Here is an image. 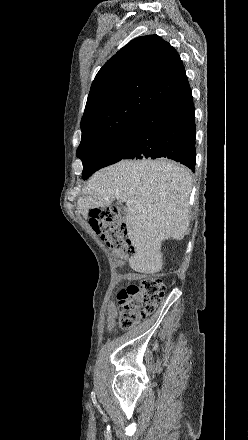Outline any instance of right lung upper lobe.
<instances>
[{"instance_id":"obj_1","label":"right lung upper lobe","mask_w":248,"mask_h":440,"mask_svg":"<svg viewBox=\"0 0 248 440\" xmlns=\"http://www.w3.org/2000/svg\"><path fill=\"white\" fill-rule=\"evenodd\" d=\"M191 91L177 51L157 35L130 41L97 73L81 120L83 148Z\"/></svg>"}]
</instances>
